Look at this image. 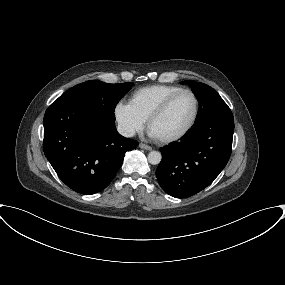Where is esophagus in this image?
<instances>
[{
    "label": "esophagus",
    "mask_w": 285,
    "mask_h": 285,
    "mask_svg": "<svg viewBox=\"0 0 285 285\" xmlns=\"http://www.w3.org/2000/svg\"><path fill=\"white\" fill-rule=\"evenodd\" d=\"M139 147L142 148V149H145V150H149V151L152 150V147H150V146H148V145H146L144 143H140Z\"/></svg>",
    "instance_id": "34e87169"
}]
</instances>
